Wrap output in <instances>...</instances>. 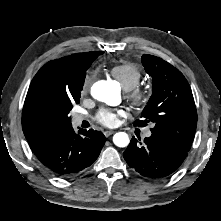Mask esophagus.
<instances>
[{
	"label": "esophagus",
	"instance_id": "esophagus-1",
	"mask_svg": "<svg viewBox=\"0 0 221 221\" xmlns=\"http://www.w3.org/2000/svg\"><path fill=\"white\" fill-rule=\"evenodd\" d=\"M114 133V131H112V130H106L105 132H104V135L106 136V137H109L110 135H112Z\"/></svg>",
	"mask_w": 221,
	"mask_h": 221
}]
</instances>
